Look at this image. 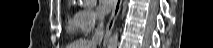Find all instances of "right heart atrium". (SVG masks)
<instances>
[{
    "label": "right heart atrium",
    "mask_w": 213,
    "mask_h": 48,
    "mask_svg": "<svg viewBox=\"0 0 213 48\" xmlns=\"http://www.w3.org/2000/svg\"><path fill=\"white\" fill-rule=\"evenodd\" d=\"M79 18L81 32L87 34L96 26L101 16L93 8L86 7L79 12Z\"/></svg>",
    "instance_id": "d8ad5b80"
}]
</instances>
